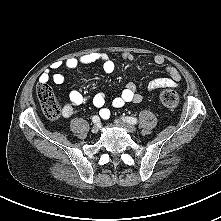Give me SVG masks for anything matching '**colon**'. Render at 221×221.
<instances>
[{
    "instance_id": "5ec220e1",
    "label": "colon",
    "mask_w": 221,
    "mask_h": 221,
    "mask_svg": "<svg viewBox=\"0 0 221 221\" xmlns=\"http://www.w3.org/2000/svg\"><path fill=\"white\" fill-rule=\"evenodd\" d=\"M37 98L42 106L44 114L50 119H57L61 108L56 101L51 89L46 83H39L36 88ZM160 102L168 109L178 106L179 96L173 89L164 88L159 94Z\"/></svg>"
}]
</instances>
